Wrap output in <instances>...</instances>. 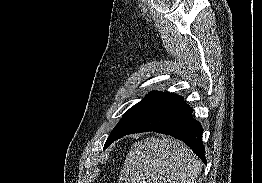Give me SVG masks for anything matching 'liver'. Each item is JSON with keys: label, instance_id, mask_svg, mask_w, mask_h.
<instances>
[{"label": "liver", "instance_id": "liver-1", "mask_svg": "<svg viewBox=\"0 0 262 183\" xmlns=\"http://www.w3.org/2000/svg\"><path fill=\"white\" fill-rule=\"evenodd\" d=\"M202 162L183 142L146 138L132 145L119 183H194Z\"/></svg>", "mask_w": 262, "mask_h": 183}]
</instances>
